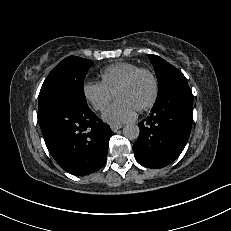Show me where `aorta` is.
I'll return each mask as SVG.
<instances>
[{"label": "aorta", "mask_w": 231, "mask_h": 231, "mask_svg": "<svg viewBox=\"0 0 231 231\" xmlns=\"http://www.w3.org/2000/svg\"><path fill=\"white\" fill-rule=\"evenodd\" d=\"M140 133L138 125L135 123H128L123 128V135L129 140H135Z\"/></svg>", "instance_id": "762f6f07"}]
</instances>
